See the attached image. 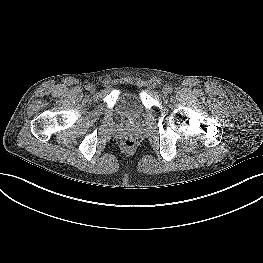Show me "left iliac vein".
Returning <instances> with one entry per match:
<instances>
[{
    "label": "left iliac vein",
    "mask_w": 263,
    "mask_h": 263,
    "mask_svg": "<svg viewBox=\"0 0 263 263\" xmlns=\"http://www.w3.org/2000/svg\"><path fill=\"white\" fill-rule=\"evenodd\" d=\"M163 94L167 95L169 93V89L167 87L163 88Z\"/></svg>",
    "instance_id": "left-iliac-vein-1"
}]
</instances>
